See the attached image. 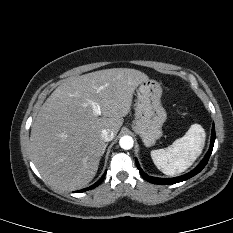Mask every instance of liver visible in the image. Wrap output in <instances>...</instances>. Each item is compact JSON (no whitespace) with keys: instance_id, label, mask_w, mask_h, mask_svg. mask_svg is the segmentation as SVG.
I'll use <instances>...</instances> for the list:
<instances>
[{"instance_id":"6515ba94","label":"liver","mask_w":233,"mask_h":233,"mask_svg":"<svg viewBox=\"0 0 233 233\" xmlns=\"http://www.w3.org/2000/svg\"><path fill=\"white\" fill-rule=\"evenodd\" d=\"M139 70L112 68L67 78L47 98L31 128V158L49 185L81 189L95 177L106 144L103 129L117 135L131 109ZM90 101L100 107L94 115Z\"/></svg>"}]
</instances>
